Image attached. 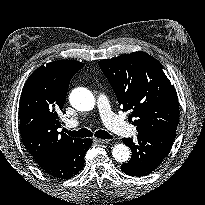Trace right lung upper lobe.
Listing matches in <instances>:
<instances>
[{
	"instance_id": "1",
	"label": "right lung upper lobe",
	"mask_w": 205,
	"mask_h": 205,
	"mask_svg": "<svg viewBox=\"0 0 205 205\" xmlns=\"http://www.w3.org/2000/svg\"><path fill=\"white\" fill-rule=\"evenodd\" d=\"M84 66L59 60L40 66L27 79L19 102L20 133L25 148L41 167L63 155L81 139L63 132L59 118L69 82Z\"/></svg>"
}]
</instances>
